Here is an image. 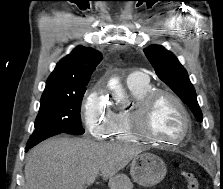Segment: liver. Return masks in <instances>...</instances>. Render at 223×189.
<instances>
[{
    "label": "liver",
    "mask_w": 223,
    "mask_h": 189,
    "mask_svg": "<svg viewBox=\"0 0 223 189\" xmlns=\"http://www.w3.org/2000/svg\"><path fill=\"white\" fill-rule=\"evenodd\" d=\"M142 151L136 144L53 137L27 154L24 189H84L100 173L111 189H122L125 176L118 172Z\"/></svg>",
    "instance_id": "liver-1"
}]
</instances>
